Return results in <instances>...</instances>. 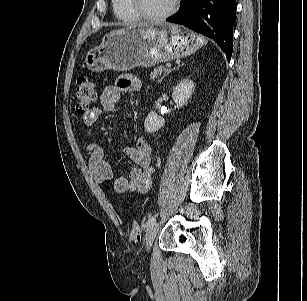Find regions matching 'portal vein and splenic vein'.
Listing matches in <instances>:
<instances>
[{"mask_svg":"<svg viewBox=\"0 0 307 301\" xmlns=\"http://www.w3.org/2000/svg\"><path fill=\"white\" fill-rule=\"evenodd\" d=\"M166 67H167V68H170V67H171V64H170V63H167V64H166Z\"/></svg>","mask_w":307,"mask_h":301,"instance_id":"1","label":"portal vein and splenic vein"}]
</instances>
